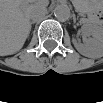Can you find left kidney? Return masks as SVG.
<instances>
[{
  "label": "left kidney",
  "instance_id": "obj_1",
  "mask_svg": "<svg viewBox=\"0 0 103 103\" xmlns=\"http://www.w3.org/2000/svg\"><path fill=\"white\" fill-rule=\"evenodd\" d=\"M86 36H92L86 39V44L74 42V46L79 53L90 58H98L102 56L103 38L99 33L85 32Z\"/></svg>",
  "mask_w": 103,
  "mask_h": 103
}]
</instances>
